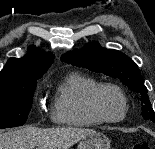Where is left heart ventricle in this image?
Wrapping results in <instances>:
<instances>
[{
  "instance_id": "b2bd125f",
  "label": "left heart ventricle",
  "mask_w": 155,
  "mask_h": 149,
  "mask_svg": "<svg viewBox=\"0 0 155 149\" xmlns=\"http://www.w3.org/2000/svg\"><path fill=\"white\" fill-rule=\"evenodd\" d=\"M99 103L102 111L110 118H118L123 113V101L112 90H104L99 96Z\"/></svg>"
}]
</instances>
